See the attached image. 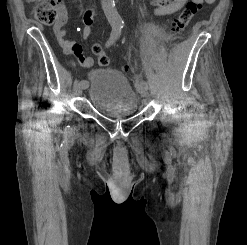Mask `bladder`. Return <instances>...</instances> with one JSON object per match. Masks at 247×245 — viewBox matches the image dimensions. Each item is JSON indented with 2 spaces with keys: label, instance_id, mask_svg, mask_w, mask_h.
Here are the masks:
<instances>
[{
  "label": "bladder",
  "instance_id": "31cf9c89",
  "mask_svg": "<svg viewBox=\"0 0 247 245\" xmlns=\"http://www.w3.org/2000/svg\"><path fill=\"white\" fill-rule=\"evenodd\" d=\"M88 85L90 102L105 116H128L139 109L137 92L119 70L94 68L89 73Z\"/></svg>",
  "mask_w": 247,
  "mask_h": 245
}]
</instances>
